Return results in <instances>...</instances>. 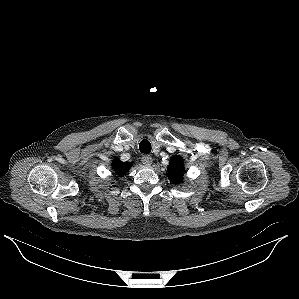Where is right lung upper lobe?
Listing matches in <instances>:
<instances>
[{
	"mask_svg": "<svg viewBox=\"0 0 299 299\" xmlns=\"http://www.w3.org/2000/svg\"><path fill=\"white\" fill-rule=\"evenodd\" d=\"M112 167L118 175H123L129 170V168L131 167V163L122 162L119 159H115L113 161V166Z\"/></svg>",
	"mask_w": 299,
	"mask_h": 299,
	"instance_id": "obj_1",
	"label": "right lung upper lobe"
}]
</instances>
